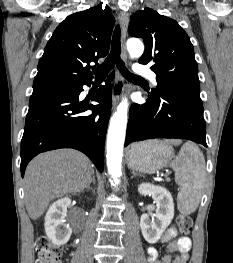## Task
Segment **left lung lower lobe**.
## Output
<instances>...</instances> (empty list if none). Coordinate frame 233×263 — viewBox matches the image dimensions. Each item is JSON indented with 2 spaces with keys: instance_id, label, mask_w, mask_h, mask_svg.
<instances>
[{
  "instance_id": "obj_1",
  "label": "left lung lower lobe",
  "mask_w": 233,
  "mask_h": 263,
  "mask_svg": "<svg viewBox=\"0 0 233 263\" xmlns=\"http://www.w3.org/2000/svg\"><path fill=\"white\" fill-rule=\"evenodd\" d=\"M154 138L188 139L207 147L200 90L168 87L150 94L145 104L132 105L125 146Z\"/></svg>"
}]
</instances>
